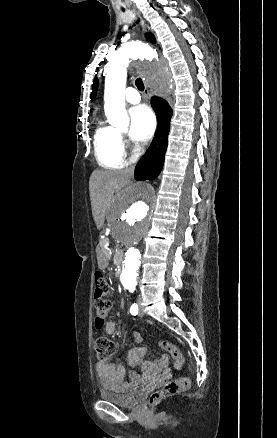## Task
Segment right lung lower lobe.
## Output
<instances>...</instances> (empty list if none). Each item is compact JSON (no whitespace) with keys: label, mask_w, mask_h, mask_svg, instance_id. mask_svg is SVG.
Segmentation results:
<instances>
[{"label":"right lung lower lobe","mask_w":277,"mask_h":438,"mask_svg":"<svg viewBox=\"0 0 277 438\" xmlns=\"http://www.w3.org/2000/svg\"><path fill=\"white\" fill-rule=\"evenodd\" d=\"M152 105L157 114L158 129L148 151L136 165L134 174L136 180L155 179L162 170L167 149L172 109L165 100L158 97H153Z\"/></svg>","instance_id":"98d812e1"}]
</instances>
